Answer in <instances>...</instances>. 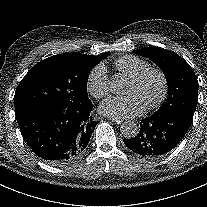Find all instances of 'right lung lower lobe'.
Listing matches in <instances>:
<instances>
[{"label": "right lung lower lobe", "instance_id": "98d812e1", "mask_svg": "<svg viewBox=\"0 0 207 207\" xmlns=\"http://www.w3.org/2000/svg\"><path fill=\"white\" fill-rule=\"evenodd\" d=\"M93 105L60 109L43 107L16 116L21 134L34 153L51 165L76 160L85 150L97 122L90 115Z\"/></svg>", "mask_w": 207, "mask_h": 207}]
</instances>
